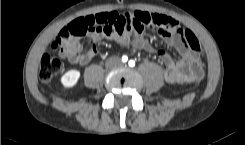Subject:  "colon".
Instances as JSON below:
<instances>
[{"mask_svg": "<svg viewBox=\"0 0 245 145\" xmlns=\"http://www.w3.org/2000/svg\"><path fill=\"white\" fill-rule=\"evenodd\" d=\"M160 26H165L169 31L183 38L193 51L199 50L200 44L198 40L188 29L176 20L157 13H154L152 16L141 14L139 20L131 19L128 16L123 15L116 21L111 22H106L101 16L97 17V22L91 16L87 18L86 22H82L79 18H76L61 28L58 36L51 43L49 50L42 56L39 77L43 81H49L58 75L61 70V62L55 54L68 53L65 49L66 41L68 39L83 37L94 27L99 30L112 28L118 33H124L140 32L144 27Z\"/></svg>", "mask_w": 245, "mask_h": 145, "instance_id": "colon-1", "label": "colon"}]
</instances>
